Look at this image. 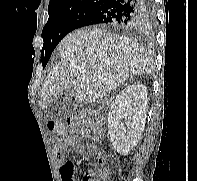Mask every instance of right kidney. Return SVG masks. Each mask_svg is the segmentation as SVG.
I'll return each mask as SVG.
<instances>
[{
    "label": "right kidney",
    "mask_w": 197,
    "mask_h": 181,
    "mask_svg": "<svg viewBox=\"0 0 197 181\" xmlns=\"http://www.w3.org/2000/svg\"><path fill=\"white\" fill-rule=\"evenodd\" d=\"M148 108L147 89L140 83L126 86L109 110L108 134L113 148L126 155L141 139ZM123 119L127 120V129Z\"/></svg>",
    "instance_id": "ca27d5eb"
}]
</instances>
